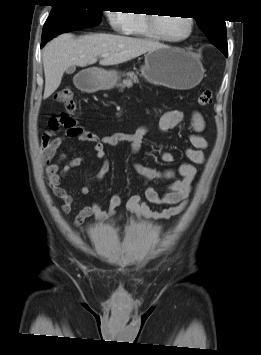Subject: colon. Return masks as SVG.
<instances>
[{"instance_id":"colon-1","label":"colon","mask_w":261,"mask_h":355,"mask_svg":"<svg viewBox=\"0 0 261 355\" xmlns=\"http://www.w3.org/2000/svg\"><path fill=\"white\" fill-rule=\"evenodd\" d=\"M212 98H213L212 92L210 90H205L198 95L197 103L200 106H208L212 103ZM54 99L58 103L63 104L66 111L69 114H73L75 112L76 105L73 99L72 90L70 88L65 87L56 91L54 94ZM59 119H61L62 121L63 119H69V118H59ZM48 125L51 129H58L60 127V122L57 118H53L51 121H49Z\"/></svg>"}]
</instances>
